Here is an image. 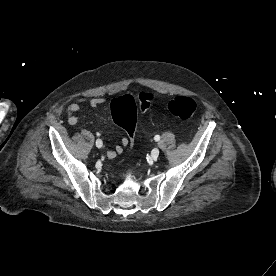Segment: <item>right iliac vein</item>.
<instances>
[{"mask_svg": "<svg viewBox=\"0 0 276 276\" xmlns=\"http://www.w3.org/2000/svg\"><path fill=\"white\" fill-rule=\"evenodd\" d=\"M96 146H97L98 148H101V147H102V140L97 139V140H96Z\"/></svg>", "mask_w": 276, "mask_h": 276, "instance_id": "63e3f726", "label": "right iliac vein"}]
</instances>
